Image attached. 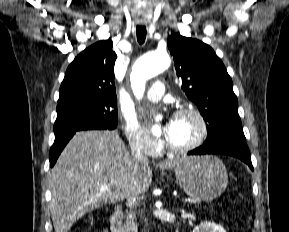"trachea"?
I'll list each match as a JSON object with an SVG mask.
<instances>
[{
  "label": "trachea",
  "mask_w": 289,
  "mask_h": 232,
  "mask_svg": "<svg viewBox=\"0 0 289 232\" xmlns=\"http://www.w3.org/2000/svg\"><path fill=\"white\" fill-rule=\"evenodd\" d=\"M137 40L139 44H143L146 39L147 30L145 26L136 27Z\"/></svg>",
  "instance_id": "1"
}]
</instances>
